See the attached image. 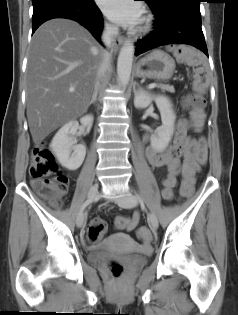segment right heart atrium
Wrapping results in <instances>:
<instances>
[{
    "label": "right heart atrium",
    "mask_w": 238,
    "mask_h": 315,
    "mask_svg": "<svg viewBox=\"0 0 238 315\" xmlns=\"http://www.w3.org/2000/svg\"><path fill=\"white\" fill-rule=\"evenodd\" d=\"M106 29L108 30V31H112L113 30V28H112V26L111 25H106Z\"/></svg>",
    "instance_id": "obj_1"
}]
</instances>
